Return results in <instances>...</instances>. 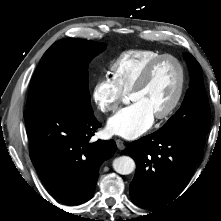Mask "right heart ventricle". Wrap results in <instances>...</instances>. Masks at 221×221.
I'll list each match as a JSON object with an SVG mask.
<instances>
[{
  "label": "right heart ventricle",
  "instance_id": "obj_1",
  "mask_svg": "<svg viewBox=\"0 0 221 221\" xmlns=\"http://www.w3.org/2000/svg\"><path fill=\"white\" fill-rule=\"evenodd\" d=\"M161 55L150 49L127 50L111 62V79L123 93H128L147 64Z\"/></svg>",
  "mask_w": 221,
  "mask_h": 221
}]
</instances>
